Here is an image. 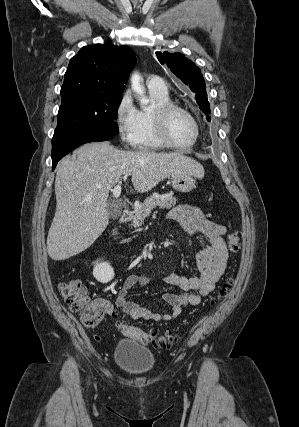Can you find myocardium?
Listing matches in <instances>:
<instances>
[{"instance_id": "obj_1", "label": "myocardium", "mask_w": 299, "mask_h": 427, "mask_svg": "<svg viewBox=\"0 0 299 427\" xmlns=\"http://www.w3.org/2000/svg\"><path fill=\"white\" fill-rule=\"evenodd\" d=\"M173 111L183 112L187 116H189L193 121L195 134H194V139L189 144H185V145L177 144L173 142L168 135L167 118L169 114L172 113ZM152 119H153V125H154L156 136L158 137L160 142L166 147L173 148V149H188L193 147L199 140L200 125L197 118L194 116V114L190 110H188L187 108L181 105H178L173 102L158 105L152 111Z\"/></svg>"}]
</instances>
